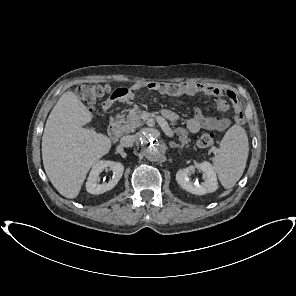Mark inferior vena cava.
I'll return each instance as SVG.
<instances>
[{"label":"inferior vena cava","mask_w":296,"mask_h":296,"mask_svg":"<svg viewBox=\"0 0 296 296\" xmlns=\"http://www.w3.org/2000/svg\"><path fill=\"white\" fill-rule=\"evenodd\" d=\"M134 142H135V137L134 136L126 135V136H123L120 139V146H122V147H131V146H133Z\"/></svg>","instance_id":"inferior-vena-cava-1"}]
</instances>
